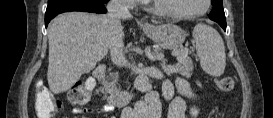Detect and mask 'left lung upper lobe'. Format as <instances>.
<instances>
[{"mask_svg": "<svg viewBox=\"0 0 273 118\" xmlns=\"http://www.w3.org/2000/svg\"><path fill=\"white\" fill-rule=\"evenodd\" d=\"M213 10L209 14V18L219 24L225 23V14L222 0H212Z\"/></svg>", "mask_w": 273, "mask_h": 118, "instance_id": "1", "label": "left lung upper lobe"}]
</instances>
